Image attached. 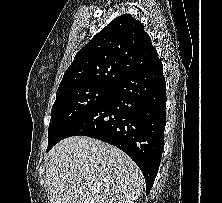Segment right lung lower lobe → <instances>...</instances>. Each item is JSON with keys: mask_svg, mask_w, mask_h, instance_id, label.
<instances>
[{"mask_svg": "<svg viewBox=\"0 0 222 203\" xmlns=\"http://www.w3.org/2000/svg\"><path fill=\"white\" fill-rule=\"evenodd\" d=\"M166 84L160 59L135 69L119 80L108 97L69 125L60 140L89 136L128 154L141 169L149 193L162 157L166 124Z\"/></svg>", "mask_w": 222, "mask_h": 203, "instance_id": "right-lung-lower-lobe-1", "label": "right lung lower lobe"}]
</instances>
